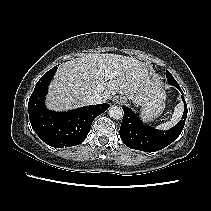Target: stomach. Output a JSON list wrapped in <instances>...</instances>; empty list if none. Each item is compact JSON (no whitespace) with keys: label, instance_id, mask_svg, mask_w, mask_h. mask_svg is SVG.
Wrapping results in <instances>:
<instances>
[{"label":"stomach","instance_id":"1","mask_svg":"<svg viewBox=\"0 0 211 211\" xmlns=\"http://www.w3.org/2000/svg\"><path fill=\"white\" fill-rule=\"evenodd\" d=\"M165 108V95L149 99L142 103L140 117L145 122H151L159 117Z\"/></svg>","mask_w":211,"mask_h":211}]
</instances>
